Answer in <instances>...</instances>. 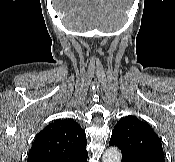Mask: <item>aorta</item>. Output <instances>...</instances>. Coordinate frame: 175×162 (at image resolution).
I'll list each match as a JSON object with an SVG mask.
<instances>
[{"label": "aorta", "mask_w": 175, "mask_h": 162, "mask_svg": "<svg viewBox=\"0 0 175 162\" xmlns=\"http://www.w3.org/2000/svg\"><path fill=\"white\" fill-rule=\"evenodd\" d=\"M102 162H121V152L116 147L108 148L103 154Z\"/></svg>", "instance_id": "obj_1"}]
</instances>
